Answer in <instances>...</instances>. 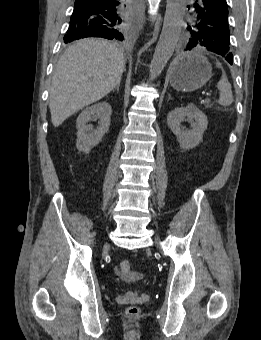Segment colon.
I'll use <instances>...</instances> for the list:
<instances>
[{"label": "colon", "mask_w": 261, "mask_h": 340, "mask_svg": "<svg viewBox=\"0 0 261 340\" xmlns=\"http://www.w3.org/2000/svg\"><path fill=\"white\" fill-rule=\"evenodd\" d=\"M116 273L122 277H127L131 273V263L128 260H122L116 266ZM140 312L138 307L131 306L127 309V313L131 316H136Z\"/></svg>", "instance_id": "obj_1"}]
</instances>
